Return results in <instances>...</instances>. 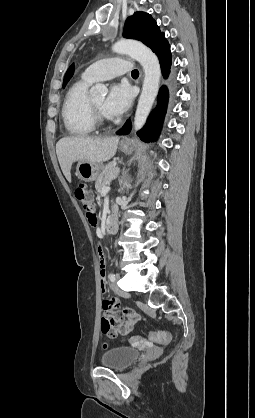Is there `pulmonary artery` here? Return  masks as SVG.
I'll return each instance as SVG.
<instances>
[{"label":"pulmonary artery","instance_id":"1","mask_svg":"<svg viewBox=\"0 0 255 418\" xmlns=\"http://www.w3.org/2000/svg\"><path fill=\"white\" fill-rule=\"evenodd\" d=\"M132 69V63L124 58H108L90 65L83 77L91 82L109 80Z\"/></svg>","mask_w":255,"mask_h":418}]
</instances>
